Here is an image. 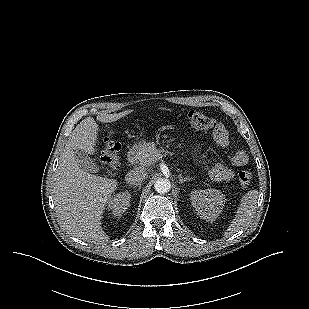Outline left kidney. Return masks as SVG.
Masks as SVG:
<instances>
[{
  "instance_id": "obj_1",
  "label": "left kidney",
  "mask_w": 309,
  "mask_h": 309,
  "mask_svg": "<svg viewBox=\"0 0 309 309\" xmlns=\"http://www.w3.org/2000/svg\"><path fill=\"white\" fill-rule=\"evenodd\" d=\"M190 199L197 215L208 222L215 221L225 203L224 195L216 189L193 191Z\"/></svg>"
}]
</instances>
